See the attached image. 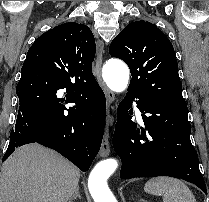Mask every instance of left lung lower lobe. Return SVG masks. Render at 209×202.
<instances>
[{"mask_svg": "<svg viewBox=\"0 0 209 202\" xmlns=\"http://www.w3.org/2000/svg\"><path fill=\"white\" fill-rule=\"evenodd\" d=\"M137 98L145 128L131 121L128 109ZM187 106L155 102L127 92L117 111L113 147L122 160L120 177L171 176L191 182L207 194L191 144Z\"/></svg>", "mask_w": 209, "mask_h": 202, "instance_id": "1", "label": "left lung lower lobe"}]
</instances>
